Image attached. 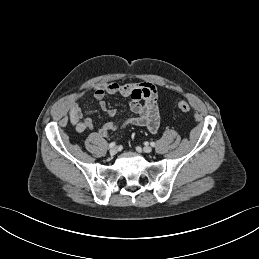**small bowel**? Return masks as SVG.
Returning a JSON list of instances; mask_svg holds the SVG:
<instances>
[{"instance_id":"1","label":"small bowel","mask_w":259,"mask_h":259,"mask_svg":"<svg viewBox=\"0 0 259 259\" xmlns=\"http://www.w3.org/2000/svg\"><path fill=\"white\" fill-rule=\"evenodd\" d=\"M119 94L129 99L134 117L127 118L121 123L115 121L117 110L108 106L104 98L108 95ZM85 92L77 93L67 100L68 117L78 132L94 130L95 123L81 108V101ZM93 96L98 100L99 107L109 117V121L97 129L100 137H109L112 133L121 135L127 126L146 127L151 133H157L160 127L161 113L158 109V93L151 83H125L108 82L95 87Z\"/></svg>"}]
</instances>
